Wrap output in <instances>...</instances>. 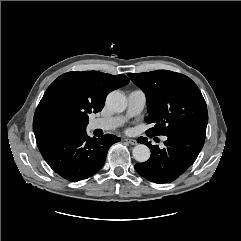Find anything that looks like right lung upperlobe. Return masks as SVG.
<instances>
[{
	"label": "right lung upper lobe",
	"mask_w": 241,
	"mask_h": 241,
	"mask_svg": "<svg viewBox=\"0 0 241 241\" xmlns=\"http://www.w3.org/2000/svg\"><path fill=\"white\" fill-rule=\"evenodd\" d=\"M128 83L125 75L98 71L62 74L47 88L35 111L36 139L63 130L86 129L88 114L101 111L107 95Z\"/></svg>",
	"instance_id": "1"
}]
</instances>
